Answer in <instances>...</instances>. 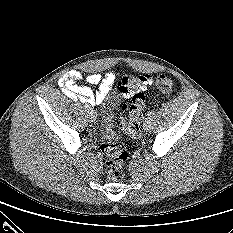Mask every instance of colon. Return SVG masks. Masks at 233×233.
Here are the masks:
<instances>
[{"instance_id":"5ec220e1","label":"colon","mask_w":233,"mask_h":233,"mask_svg":"<svg viewBox=\"0 0 233 233\" xmlns=\"http://www.w3.org/2000/svg\"><path fill=\"white\" fill-rule=\"evenodd\" d=\"M155 87L165 95H172L175 89L174 82L165 75H158L152 80ZM132 92V103L130 106L120 105L121 111H126L127 115L121 117V128L123 132L131 137L139 134L140 123L145 107V96L142 93V80L134 78L129 85ZM100 149L107 159V174L110 180L119 181L124 176L123 165L127 160V152L124 146L117 141H107L101 139Z\"/></svg>"}]
</instances>
